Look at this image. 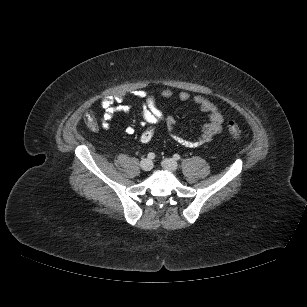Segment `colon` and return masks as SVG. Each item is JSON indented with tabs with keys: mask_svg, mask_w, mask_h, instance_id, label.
Segmentation results:
<instances>
[{
	"mask_svg": "<svg viewBox=\"0 0 307 307\" xmlns=\"http://www.w3.org/2000/svg\"><path fill=\"white\" fill-rule=\"evenodd\" d=\"M85 120L86 123L89 127H93L96 125V120L95 117L92 113H87L85 116ZM227 129L229 131V133L232 135V137H234L235 139H239L241 137V130L238 126V124L234 121H229L227 124ZM154 135V129L153 128H147L145 129L141 136H140V140L143 143H148L151 141V139L153 138Z\"/></svg>",
	"mask_w": 307,
	"mask_h": 307,
	"instance_id": "colon-1",
	"label": "colon"
}]
</instances>
